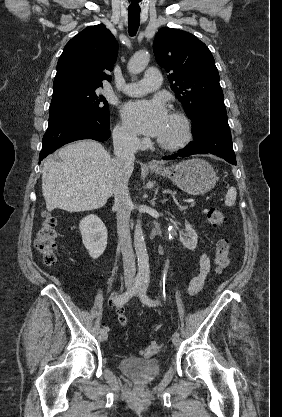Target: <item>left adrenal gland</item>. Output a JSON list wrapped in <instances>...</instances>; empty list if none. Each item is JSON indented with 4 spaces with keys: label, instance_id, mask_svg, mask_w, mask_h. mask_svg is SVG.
Returning a JSON list of instances; mask_svg holds the SVG:
<instances>
[{
    "label": "left adrenal gland",
    "instance_id": "a2214340",
    "mask_svg": "<svg viewBox=\"0 0 282 417\" xmlns=\"http://www.w3.org/2000/svg\"><path fill=\"white\" fill-rule=\"evenodd\" d=\"M168 198H163V200H161V202H167Z\"/></svg>",
    "mask_w": 282,
    "mask_h": 417
}]
</instances>
